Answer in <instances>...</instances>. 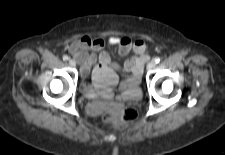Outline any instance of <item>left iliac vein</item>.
<instances>
[{"label":"left iliac vein","mask_w":225,"mask_h":155,"mask_svg":"<svg viewBox=\"0 0 225 155\" xmlns=\"http://www.w3.org/2000/svg\"><path fill=\"white\" fill-rule=\"evenodd\" d=\"M155 62L154 61H150L148 64H147V70H151L155 67Z\"/></svg>","instance_id":"1"}]
</instances>
